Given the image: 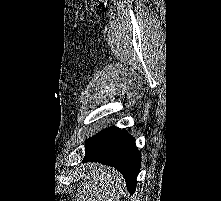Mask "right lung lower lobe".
I'll use <instances>...</instances> for the list:
<instances>
[{"label": "right lung lower lobe", "mask_w": 221, "mask_h": 201, "mask_svg": "<svg viewBox=\"0 0 221 201\" xmlns=\"http://www.w3.org/2000/svg\"><path fill=\"white\" fill-rule=\"evenodd\" d=\"M84 162H100L120 171L129 192L134 193L140 171L141 155L135 141L126 131L108 127L85 142Z\"/></svg>", "instance_id": "right-lung-lower-lobe-1"}]
</instances>
